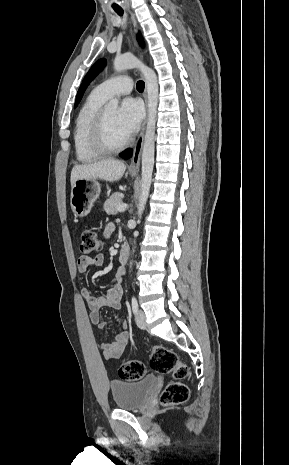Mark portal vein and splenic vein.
Segmentation results:
<instances>
[{
    "mask_svg": "<svg viewBox=\"0 0 289 465\" xmlns=\"http://www.w3.org/2000/svg\"><path fill=\"white\" fill-rule=\"evenodd\" d=\"M127 204H121L119 207H118V211L119 212H123L127 209Z\"/></svg>",
    "mask_w": 289,
    "mask_h": 465,
    "instance_id": "18ae733b",
    "label": "portal vein and splenic vein"
}]
</instances>
